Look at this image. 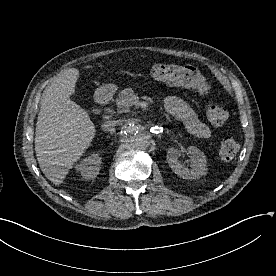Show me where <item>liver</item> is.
<instances>
[{
    "mask_svg": "<svg viewBox=\"0 0 276 276\" xmlns=\"http://www.w3.org/2000/svg\"><path fill=\"white\" fill-rule=\"evenodd\" d=\"M78 77V69H67L42 94L35 152L41 171L55 185L63 183L95 137L96 129L87 111L70 99Z\"/></svg>",
    "mask_w": 276,
    "mask_h": 276,
    "instance_id": "6515ba94",
    "label": "liver"
}]
</instances>
